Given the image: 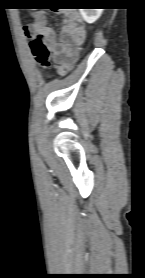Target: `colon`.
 I'll return each mask as SVG.
<instances>
[{"label": "colon", "instance_id": "5ec220e1", "mask_svg": "<svg viewBox=\"0 0 145 278\" xmlns=\"http://www.w3.org/2000/svg\"><path fill=\"white\" fill-rule=\"evenodd\" d=\"M35 59L43 69H47L50 66V50L44 41L42 35H37L30 41Z\"/></svg>", "mask_w": 145, "mask_h": 278}]
</instances>
